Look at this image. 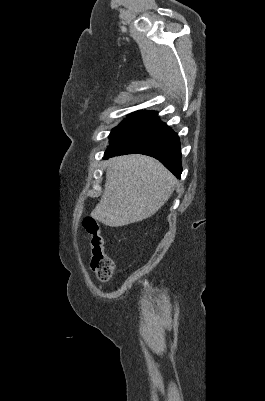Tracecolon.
I'll use <instances>...</instances> for the list:
<instances>
[{
	"instance_id": "1",
	"label": "colon",
	"mask_w": 265,
	"mask_h": 401,
	"mask_svg": "<svg viewBox=\"0 0 265 401\" xmlns=\"http://www.w3.org/2000/svg\"><path fill=\"white\" fill-rule=\"evenodd\" d=\"M83 227L90 237L91 268L101 283L107 282L114 269L112 259L106 254L100 225L92 217L83 220Z\"/></svg>"
}]
</instances>
